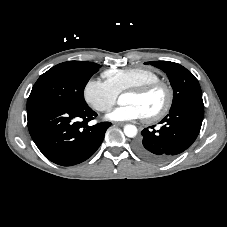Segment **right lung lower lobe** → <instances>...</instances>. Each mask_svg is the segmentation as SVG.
Listing matches in <instances>:
<instances>
[{"instance_id": "right-lung-lower-lobe-1", "label": "right lung lower lobe", "mask_w": 227, "mask_h": 227, "mask_svg": "<svg viewBox=\"0 0 227 227\" xmlns=\"http://www.w3.org/2000/svg\"><path fill=\"white\" fill-rule=\"evenodd\" d=\"M96 116L87 105L42 102L27 108L28 129L36 146L62 166L79 164L99 148L111 123L88 126Z\"/></svg>"}]
</instances>
